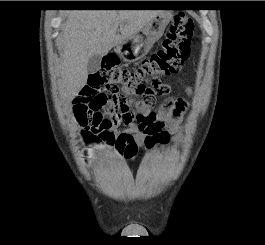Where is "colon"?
<instances>
[{
    "label": "colon",
    "mask_w": 265,
    "mask_h": 245,
    "mask_svg": "<svg viewBox=\"0 0 265 245\" xmlns=\"http://www.w3.org/2000/svg\"><path fill=\"white\" fill-rule=\"evenodd\" d=\"M193 31L194 21L191 17L183 13L176 15L161 47L134 70L120 68L116 55L106 56V61L89 75V86L99 93L100 98L92 105L91 111L82 117L85 123L82 131L84 144L105 139L107 145L117 148L126 156L129 151L121 143H116L111 133L100 128L130 123H135L143 132L148 144L154 139L161 143L169 140L165 123L155 116L152 106L158 97L167 93L161 79L177 75L188 60ZM124 91L135 102L144 104V111L135 113L133 101L122 95Z\"/></svg>",
    "instance_id": "5ec220e1"
}]
</instances>
